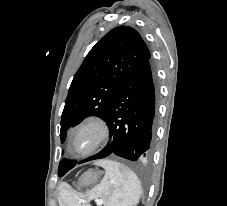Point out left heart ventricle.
Instances as JSON below:
<instances>
[{"label": "left heart ventricle", "instance_id": "left-heart-ventricle-1", "mask_svg": "<svg viewBox=\"0 0 227 206\" xmlns=\"http://www.w3.org/2000/svg\"><path fill=\"white\" fill-rule=\"evenodd\" d=\"M92 141V133L89 131L82 132L74 140V146L78 150L86 149Z\"/></svg>", "mask_w": 227, "mask_h": 206}]
</instances>
